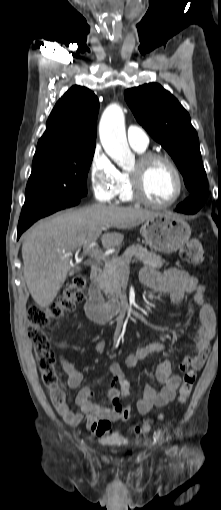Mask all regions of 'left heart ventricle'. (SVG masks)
<instances>
[{
  "instance_id": "1",
  "label": "left heart ventricle",
  "mask_w": 221,
  "mask_h": 510,
  "mask_svg": "<svg viewBox=\"0 0 221 510\" xmlns=\"http://www.w3.org/2000/svg\"><path fill=\"white\" fill-rule=\"evenodd\" d=\"M137 168V163L131 171ZM177 179L172 169L162 161L152 163L144 176L143 189L145 195L156 202L171 200L177 192Z\"/></svg>"
}]
</instances>
